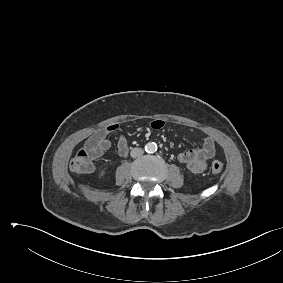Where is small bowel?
I'll use <instances>...</instances> for the list:
<instances>
[{"instance_id":"small-bowel-1","label":"small bowel","mask_w":283,"mask_h":283,"mask_svg":"<svg viewBox=\"0 0 283 283\" xmlns=\"http://www.w3.org/2000/svg\"><path fill=\"white\" fill-rule=\"evenodd\" d=\"M164 125L162 120H154L151 123L152 128L160 129ZM120 130L118 124H110L94 132L86 141L85 149L90 153L91 157L99 158L111 148V141L108 135L112 132ZM118 154L122 157L127 156L129 148L126 137L120 134L117 143ZM215 154L214 141L210 137L203 140L201 146L178 154V161L183 164L189 171L193 173H202L208 167V161Z\"/></svg>"}]
</instances>
